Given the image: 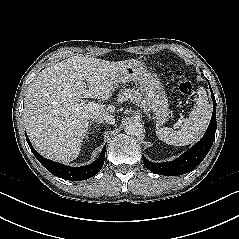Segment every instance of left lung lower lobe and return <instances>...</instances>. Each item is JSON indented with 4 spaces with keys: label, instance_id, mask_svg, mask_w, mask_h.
I'll use <instances>...</instances> for the list:
<instances>
[{
    "label": "left lung lower lobe",
    "instance_id": "left-lung-lower-lobe-1",
    "mask_svg": "<svg viewBox=\"0 0 239 239\" xmlns=\"http://www.w3.org/2000/svg\"><path fill=\"white\" fill-rule=\"evenodd\" d=\"M210 90L213 99V114L203 138L179 158L170 162L153 163L143 157V163L147 169L165 176L183 175L192 171L202 162L213 144L216 132V101L211 87Z\"/></svg>",
    "mask_w": 239,
    "mask_h": 239
}]
</instances>
